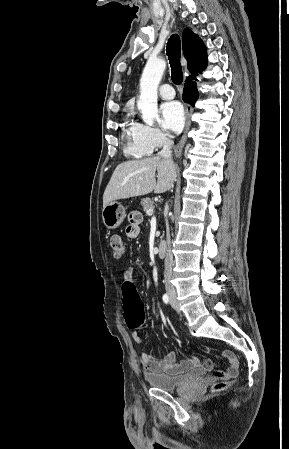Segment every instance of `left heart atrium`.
<instances>
[{
	"instance_id": "39dd6f15",
	"label": "left heart atrium",
	"mask_w": 289,
	"mask_h": 449,
	"mask_svg": "<svg viewBox=\"0 0 289 449\" xmlns=\"http://www.w3.org/2000/svg\"><path fill=\"white\" fill-rule=\"evenodd\" d=\"M160 123L169 132L177 133L181 131L185 123L182 105L177 101L163 103L160 106Z\"/></svg>"
}]
</instances>
